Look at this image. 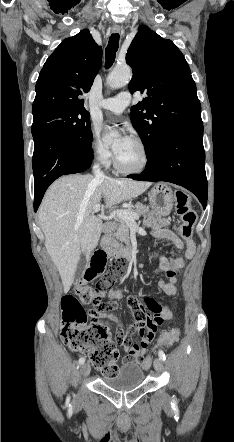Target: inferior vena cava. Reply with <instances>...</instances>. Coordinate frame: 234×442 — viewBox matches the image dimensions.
<instances>
[{
  "label": "inferior vena cava",
  "instance_id": "inferior-vena-cava-1",
  "mask_svg": "<svg viewBox=\"0 0 234 442\" xmlns=\"http://www.w3.org/2000/svg\"><path fill=\"white\" fill-rule=\"evenodd\" d=\"M93 172H94L96 178H98V179H105L106 178L104 173L100 170L99 165H94L93 166Z\"/></svg>",
  "mask_w": 234,
  "mask_h": 442
}]
</instances>
